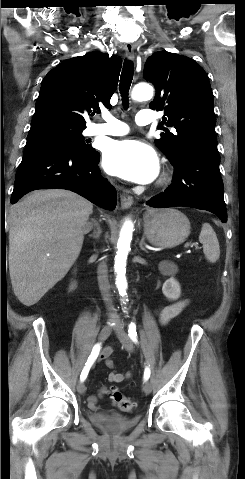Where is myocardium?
Instances as JSON below:
<instances>
[{"label": "myocardium", "mask_w": 245, "mask_h": 479, "mask_svg": "<svg viewBox=\"0 0 245 479\" xmlns=\"http://www.w3.org/2000/svg\"><path fill=\"white\" fill-rule=\"evenodd\" d=\"M167 182H168V175L164 173V174L162 175V177L160 178L158 184H159V186H163V185H165Z\"/></svg>", "instance_id": "obj_1"}]
</instances>
